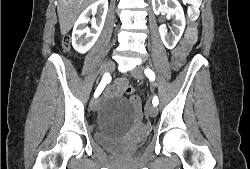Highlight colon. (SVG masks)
<instances>
[{"label":"colon","mask_w":250,"mask_h":169,"mask_svg":"<svg viewBox=\"0 0 250 169\" xmlns=\"http://www.w3.org/2000/svg\"><path fill=\"white\" fill-rule=\"evenodd\" d=\"M189 13L188 11L186 12ZM187 23L191 27L188 28L186 33V41L189 43H193L196 40L197 37V29L195 26H197V20H194V18H187ZM62 47L64 50H68L70 43H72V38H70V34H63V38H61ZM170 69H173V72H180V64L176 59L171 60V64L169 65ZM129 88L128 86L126 87ZM123 95H133V97L130 98V101L133 102V110L135 114V120L140 125L143 120V113H142V99L140 95H134V90H123Z\"/></svg>","instance_id":"1"}]
</instances>
